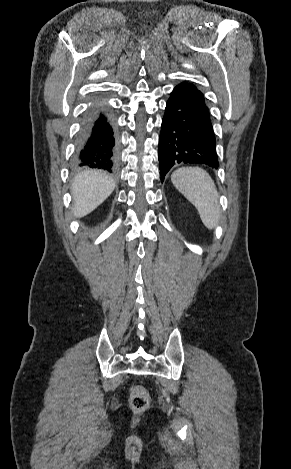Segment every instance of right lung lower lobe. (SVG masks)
I'll use <instances>...</instances> for the list:
<instances>
[{
	"label": "right lung lower lobe",
	"instance_id": "right-lung-lower-lobe-1",
	"mask_svg": "<svg viewBox=\"0 0 291 469\" xmlns=\"http://www.w3.org/2000/svg\"><path fill=\"white\" fill-rule=\"evenodd\" d=\"M118 140L113 117L105 110L92 107L82 121L78 135L74 166L116 169Z\"/></svg>",
	"mask_w": 291,
	"mask_h": 469
}]
</instances>
